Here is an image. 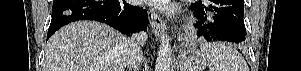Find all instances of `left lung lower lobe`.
Returning a JSON list of instances; mask_svg holds the SVG:
<instances>
[{
    "label": "left lung lower lobe",
    "instance_id": "obj_1",
    "mask_svg": "<svg viewBox=\"0 0 301 71\" xmlns=\"http://www.w3.org/2000/svg\"><path fill=\"white\" fill-rule=\"evenodd\" d=\"M191 7L199 19L195 24L198 36L207 41L245 40L244 0H197Z\"/></svg>",
    "mask_w": 301,
    "mask_h": 71
}]
</instances>
